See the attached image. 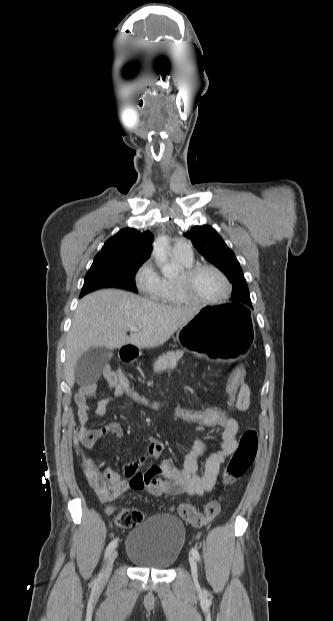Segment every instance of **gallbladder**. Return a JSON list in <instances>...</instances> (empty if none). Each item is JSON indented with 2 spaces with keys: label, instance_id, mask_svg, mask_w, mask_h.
<instances>
[{
  "label": "gallbladder",
  "instance_id": "gallbladder-1",
  "mask_svg": "<svg viewBox=\"0 0 333 621\" xmlns=\"http://www.w3.org/2000/svg\"><path fill=\"white\" fill-rule=\"evenodd\" d=\"M112 356V350L107 347L90 348L77 361L74 370L77 384L87 385L97 382Z\"/></svg>",
  "mask_w": 333,
  "mask_h": 621
}]
</instances>
